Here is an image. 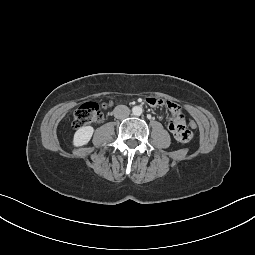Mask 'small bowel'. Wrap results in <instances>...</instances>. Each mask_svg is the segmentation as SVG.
Segmentation results:
<instances>
[{
    "label": "small bowel",
    "mask_w": 255,
    "mask_h": 255,
    "mask_svg": "<svg viewBox=\"0 0 255 255\" xmlns=\"http://www.w3.org/2000/svg\"><path fill=\"white\" fill-rule=\"evenodd\" d=\"M144 103L165 111V125L173 139L183 144H188L195 139L194 131L187 126L185 113L178 104L161 100L157 96H146Z\"/></svg>",
    "instance_id": "1"
}]
</instances>
